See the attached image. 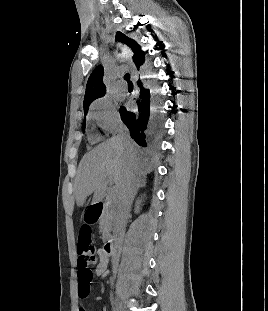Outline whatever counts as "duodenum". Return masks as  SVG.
Instances as JSON below:
<instances>
[{
    "instance_id": "410a0bca",
    "label": "duodenum",
    "mask_w": 268,
    "mask_h": 311,
    "mask_svg": "<svg viewBox=\"0 0 268 311\" xmlns=\"http://www.w3.org/2000/svg\"><path fill=\"white\" fill-rule=\"evenodd\" d=\"M105 208L104 202H98L93 204L88 210V216L90 220L94 223L97 222ZM117 241L115 238L111 237L107 239L104 244V251L109 256L115 252Z\"/></svg>"
}]
</instances>
